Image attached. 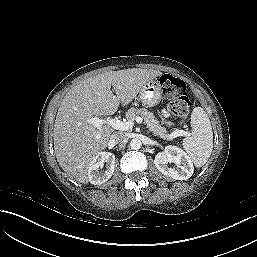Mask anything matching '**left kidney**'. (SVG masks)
I'll return each instance as SVG.
<instances>
[{
    "label": "left kidney",
    "instance_id": "left-kidney-1",
    "mask_svg": "<svg viewBox=\"0 0 257 257\" xmlns=\"http://www.w3.org/2000/svg\"><path fill=\"white\" fill-rule=\"evenodd\" d=\"M170 163L176 167H170ZM154 164L159 172L175 180H187L194 172L191 159L176 146H167L163 152L157 153Z\"/></svg>",
    "mask_w": 257,
    "mask_h": 257
}]
</instances>
